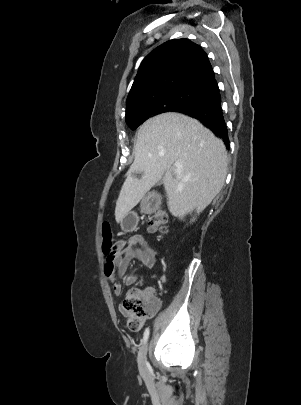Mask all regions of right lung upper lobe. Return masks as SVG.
Listing matches in <instances>:
<instances>
[{
	"mask_svg": "<svg viewBox=\"0 0 301 405\" xmlns=\"http://www.w3.org/2000/svg\"><path fill=\"white\" fill-rule=\"evenodd\" d=\"M178 87L212 96L219 91L207 54L188 39L169 40L144 58L129 92L126 111L144 97Z\"/></svg>",
	"mask_w": 301,
	"mask_h": 405,
	"instance_id": "obj_1",
	"label": "right lung upper lobe"
}]
</instances>
